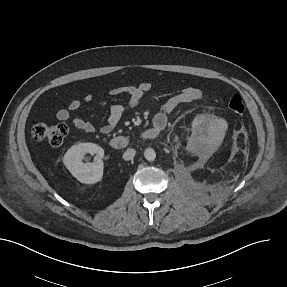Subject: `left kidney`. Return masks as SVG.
Masks as SVG:
<instances>
[{"label": "left kidney", "mask_w": 287, "mask_h": 287, "mask_svg": "<svg viewBox=\"0 0 287 287\" xmlns=\"http://www.w3.org/2000/svg\"><path fill=\"white\" fill-rule=\"evenodd\" d=\"M197 123H193V133H196V129H197Z\"/></svg>", "instance_id": "left-kidney-1"}]
</instances>
